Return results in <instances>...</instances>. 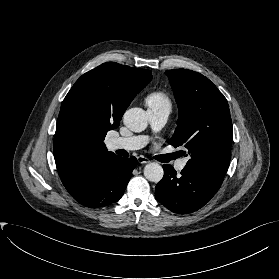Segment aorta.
<instances>
[{
  "label": "aorta",
  "mask_w": 279,
  "mask_h": 279,
  "mask_svg": "<svg viewBox=\"0 0 279 279\" xmlns=\"http://www.w3.org/2000/svg\"><path fill=\"white\" fill-rule=\"evenodd\" d=\"M123 122L131 131L142 132L148 125V117L143 109L131 108L124 113ZM163 175V168L158 163L151 162L144 168V176L151 182H159Z\"/></svg>",
  "instance_id": "1"
}]
</instances>
